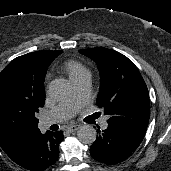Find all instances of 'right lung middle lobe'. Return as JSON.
<instances>
[{
    "label": "right lung middle lobe",
    "instance_id": "obj_1",
    "mask_svg": "<svg viewBox=\"0 0 171 171\" xmlns=\"http://www.w3.org/2000/svg\"><path fill=\"white\" fill-rule=\"evenodd\" d=\"M44 103V90L12 60L0 73V137L24 139L38 131L35 115Z\"/></svg>",
    "mask_w": 171,
    "mask_h": 171
}]
</instances>
